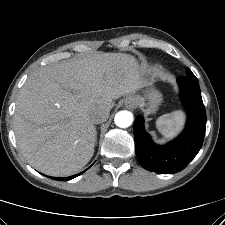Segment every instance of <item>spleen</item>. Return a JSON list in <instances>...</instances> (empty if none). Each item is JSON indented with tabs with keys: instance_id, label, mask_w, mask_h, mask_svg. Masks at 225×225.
I'll list each match as a JSON object with an SVG mask.
<instances>
[{
	"instance_id": "obj_1",
	"label": "spleen",
	"mask_w": 225,
	"mask_h": 225,
	"mask_svg": "<svg viewBox=\"0 0 225 225\" xmlns=\"http://www.w3.org/2000/svg\"><path fill=\"white\" fill-rule=\"evenodd\" d=\"M184 122V113L182 111H174L160 116L156 124L159 132L164 137L173 138L182 129Z\"/></svg>"
}]
</instances>
